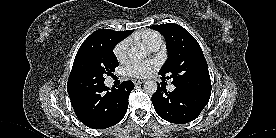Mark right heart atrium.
Returning a JSON list of instances; mask_svg holds the SVG:
<instances>
[{
	"label": "right heart atrium",
	"instance_id": "d8ad5b80",
	"mask_svg": "<svg viewBox=\"0 0 276 138\" xmlns=\"http://www.w3.org/2000/svg\"><path fill=\"white\" fill-rule=\"evenodd\" d=\"M113 53L116 59L120 62H123L127 59L128 54V41H120L113 49Z\"/></svg>",
	"mask_w": 276,
	"mask_h": 138
}]
</instances>
